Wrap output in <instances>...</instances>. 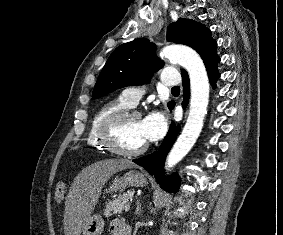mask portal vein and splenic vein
<instances>
[{
	"label": "portal vein and splenic vein",
	"instance_id": "obj_1",
	"mask_svg": "<svg viewBox=\"0 0 283 235\" xmlns=\"http://www.w3.org/2000/svg\"><path fill=\"white\" fill-rule=\"evenodd\" d=\"M130 209V204L128 203L126 206H125V211L128 212Z\"/></svg>",
	"mask_w": 283,
	"mask_h": 235
}]
</instances>
